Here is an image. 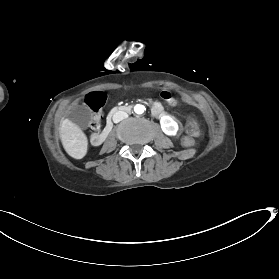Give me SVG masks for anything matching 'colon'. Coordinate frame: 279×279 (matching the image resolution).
<instances>
[{
	"label": "colon",
	"mask_w": 279,
	"mask_h": 279,
	"mask_svg": "<svg viewBox=\"0 0 279 279\" xmlns=\"http://www.w3.org/2000/svg\"><path fill=\"white\" fill-rule=\"evenodd\" d=\"M100 120H101V116L98 113L93 118V121L91 123V129L97 130L100 126ZM186 130H187V133L192 137H196L200 134V128H199L198 122L192 117H190L187 120Z\"/></svg>",
	"instance_id": "5ec220e1"
}]
</instances>
